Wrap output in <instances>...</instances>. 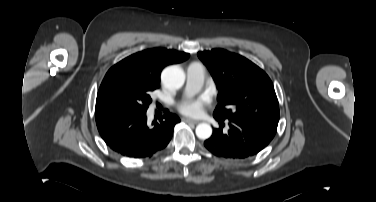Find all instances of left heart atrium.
<instances>
[{
	"mask_svg": "<svg viewBox=\"0 0 376 202\" xmlns=\"http://www.w3.org/2000/svg\"><path fill=\"white\" fill-rule=\"evenodd\" d=\"M208 101L206 97L188 100L179 106V110L186 115L198 116L202 112L203 105Z\"/></svg>",
	"mask_w": 376,
	"mask_h": 202,
	"instance_id": "left-heart-atrium-1",
	"label": "left heart atrium"
}]
</instances>
